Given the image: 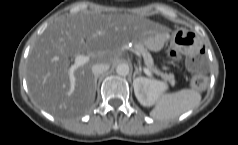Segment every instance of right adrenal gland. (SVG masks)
<instances>
[{"instance_id":"1","label":"right adrenal gland","mask_w":238,"mask_h":145,"mask_svg":"<svg viewBox=\"0 0 238 145\" xmlns=\"http://www.w3.org/2000/svg\"><path fill=\"white\" fill-rule=\"evenodd\" d=\"M98 77H99V76H96V77H95V87L97 86Z\"/></svg>"}]
</instances>
